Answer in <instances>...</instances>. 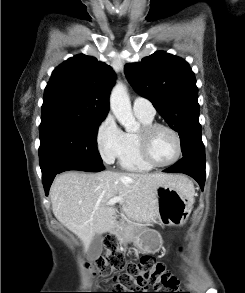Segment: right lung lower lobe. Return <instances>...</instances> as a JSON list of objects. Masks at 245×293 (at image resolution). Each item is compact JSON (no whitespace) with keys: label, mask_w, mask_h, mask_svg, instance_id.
I'll use <instances>...</instances> for the list:
<instances>
[{"label":"right lung lower lobe","mask_w":245,"mask_h":293,"mask_svg":"<svg viewBox=\"0 0 245 293\" xmlns=\"http://www.w3.org/2000/svg\"><path fill=\"white\" fill-rule=\"evenodd\" d=\"M67 170H80L87 172H99L104 170V166L98 163H92L89 161L81 160H68L56 165L52 171L42 176L43 185L46 195H48L50 185L56 176V174L67 171Z\"/></svg>","instance_id":"1"}]
</instances>
